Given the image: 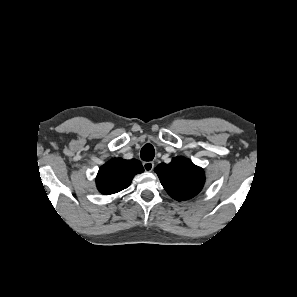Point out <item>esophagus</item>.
<instances>
[{
    "instance_id": "obj_1",
    "label": "esophagus",
    "mask_w": 297,
    "mask_h": 297,
    "mask_svg": "<svg viewBox=\"0 0 297 297\" xmlns=\"http://www.w3.org/2000/svg\"><path fill=\"white\" fill-rule=\"evenodd\" d=\"M143 167H144V169L146 171L151 172L153 170V168H154V163L151 162V161H146V162L143 163Z\"/></svg>"
}]
</instances>
